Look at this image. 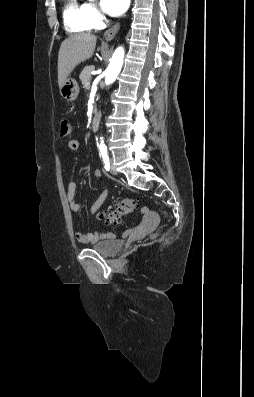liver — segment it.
<instances>
[{"label":"liver","instance_id":"1","mask_svg":"<svg viewBox=\"0 0 254 397\" xmlns=\"http://www.w3.org/2000/svg\"><path fill=\"white\" fill-rule=\"evenodd\" d=\"M96 41L95 35L85 33L70 36L61 43L58 54L59 88L77 65L92 57Z\"/></svg>","mask_w":254,"mask_h":397}]
</instances>
